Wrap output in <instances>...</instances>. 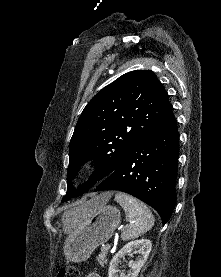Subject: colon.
I'll return each mask as SVG.
<instances>
[{"instance_id":"5ec220e1","label":"colon","mask_w":221,"mask_h":277,"mask_svg":"<svg viewBox=\"0 0 221 277\" xmlns=\"http://www.w3.org/2000/svg\"><path fill=\"white\" fill-rule=\"evenodd\" d=\"M57 277H79V270L75 266H66L58 271Z\"/></svg>"}]
</instances>
